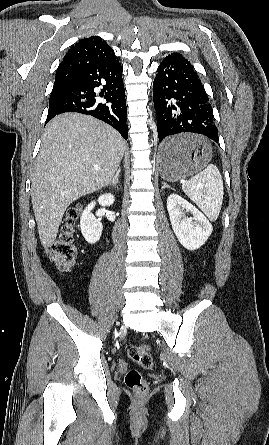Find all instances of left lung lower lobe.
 <instances>
[{"mask_svg": "<svg viewBox=\"0 0 269 445\" xmlns=\"http://www.w3.org/2000/svg\"><path fill=\"white\" fill-rule=\"evenodd\" d=\"M153 83L158 137L166 156L180 152L178 143L166 142L179 133H197L216 143L218 130L209 98L190 62L179 53L168 55L159 65Z\"/></svg>", "mask_w": 269, "mask_h": 445, "instance_id": "1", "label": "left lung lower lobe"}]
</instances>
